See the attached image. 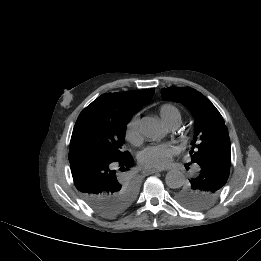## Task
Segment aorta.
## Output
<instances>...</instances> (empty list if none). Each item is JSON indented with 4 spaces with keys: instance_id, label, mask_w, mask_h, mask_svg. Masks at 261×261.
<instances>
[{
    "instance_id": "aorta-1",
    "label": "aorta",
    "mask_w": 261,
    "mask_h": 261,
    "mask_svg": "<svg viewBox=\"0 0 261 261\" xmlns=\"http://www.w3.org/2000/svg\"><path fill=\"white\" fill-rule=\"evenodd\" d=\"M140 133L148 139H158L163 133V126L154 117L142 118L139 126ZM185 178L181 171L171 170L166 174L165 182L169 188L177 189L184 184Z\"/></svg>"
}]
</instances>
